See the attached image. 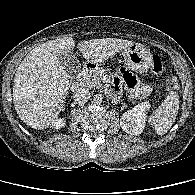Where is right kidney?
Masks as SVG:
<instances>
[{"instance_id":"1","label":"right kidney","mask_w":195,"mask_h":195,"mask_svg":"<svg viewBox=\"0 0 195 195\" xmlns=\"http://www.w3.org/2000/svg\"><path fill=\"white\" fill-rule=\"evenodd\" d=\"M65 124H66V121H65L64 118H57V119L53 122L52 128L58 130V129L64 127Z\"/></svg>"}]
</instances>
